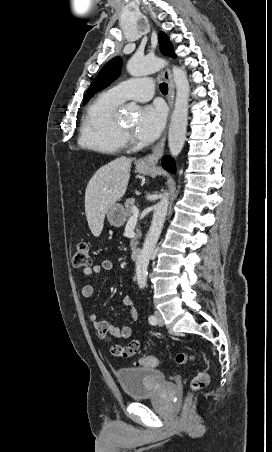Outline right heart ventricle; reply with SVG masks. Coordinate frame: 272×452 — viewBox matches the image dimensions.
<instances>
[{"instance_id":"obj_1","label":"right heart ventricle","mask_w":272,"mask_h":452,"mask_svg":"<svg viewBox=\"0 0 272 452\" xmlns=\"http://www.w3.org/2000/svg\"><path fill=\"white\" fill-rule=\"evenodd\" d=\"M121 104L108 91L101 93L88 107L82 121L78 144L90 151L114 154L125 145L115 111Z\"/></svg>"}]
</instances>
